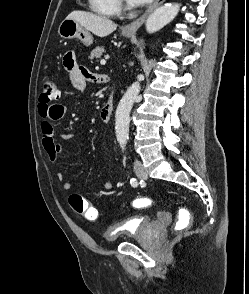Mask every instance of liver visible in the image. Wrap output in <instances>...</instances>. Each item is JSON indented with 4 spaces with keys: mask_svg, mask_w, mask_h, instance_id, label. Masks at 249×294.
<instances>
[{
    "mask_svg": "<svg viewBox=\"0 0 249 294\" xmlns=\"http://www.w3.org/2000/svg\"><path fill=\"white\" fill-rule=\"evenodd\" d=\"M67 18L75 20L87 31L92 32L98 37H106L117 28V24L107 17L96 15L91 12L73 11Z\"/></svg>",
    "mask_w": 249,
    "mask_h": 294,
    "instance_id": "1",
    "label": "liver"
}]
</instances>
